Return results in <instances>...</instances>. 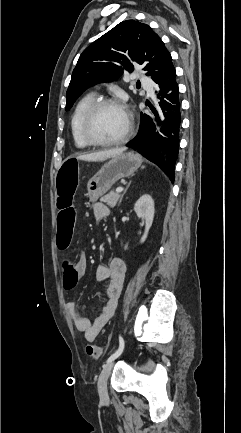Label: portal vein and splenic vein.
Segmentation results:
<instances>
[{
  "instance_id": "obj_1",
  "label": "portal vein and splenic vein",
  "mask_w": 241,
  "mask_h": 433,
  "mask_svg": "<svg viewBox=\"0 0 241 433\" xmlns=\"http://www.w3.org/2000/svg\"><path fill=\"white\" fill-rule=\"evenodd\" d=\"M123 191V187H118L117 189H116V192L117 193H120V192H122Z\"/></svg>"
}]
</instances>
